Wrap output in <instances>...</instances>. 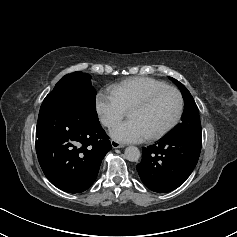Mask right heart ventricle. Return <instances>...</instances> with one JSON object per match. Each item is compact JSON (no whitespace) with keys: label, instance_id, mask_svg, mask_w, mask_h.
<instances>
[{"label":"right heart ventricle","instance_id":"1","mask_svg":"<svg viewBox=\"0 0 237 237\" xmlns=\"http://www.w3.org/2000/svg\"><path fill=\"white\" fill-rule=\"evenodd\" d=\"M167 86L164 82L149 77H133L111 87L118 95L125 109H129L136 101L150 91Z\"/></svg>","mask_w":237,"mask_h":237}]
</instances>
